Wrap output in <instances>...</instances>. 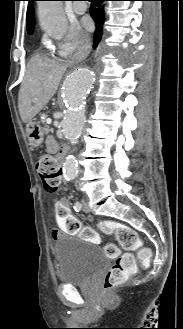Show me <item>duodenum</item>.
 <instances>
[{
    "instance_id": "obj_1",
    "label": "duodenum",
    "mask_w": 183,
    "mask_h": 329,
    "mask_svg": "<svg viewBox=\"0 0 183 329\" xmlns=\"http://www.w3.org/2000/svg\"><path fill=\"white\" fill-rule=\"evenodd\" d=\"M65 151H66V148H65V147L60 148V150L58 151L59 161H60L61 163H63V161H64V154H65Z\"/></svg>"
}]
</instances>
